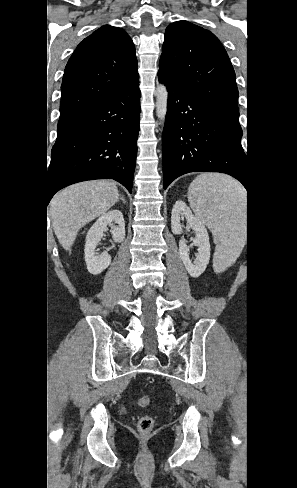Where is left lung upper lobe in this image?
Wrapping results in <instances>:
<instances>
[{"instance_id":"5c2ea615","label":"left lung upper lobe","mask_w":297,"mask_h":488,"mask_svg":"<svg viewBox=\"0 0 297 488\" xmlns=\"http://www.w3.org/2000/svg\"><path fill=\"white\" fill-rule=\"evenodd\" d=\"M158 75L200 102L239 119L235 72L226 50L210 31L187 21L170 24Z\"/></svg>"}]
</instances>
